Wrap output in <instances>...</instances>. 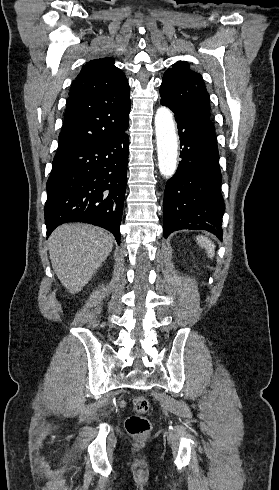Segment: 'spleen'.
<instances>
[{"label": "spleen", "instance_id": "1", "mask_svg": "<svg viewBox=\"0 0 279 490\" xmlns=\"http://www.w3.org/2000/svg\"><path fill=\"white\" fill-rule=\"evenodd\" d=\"M197 244H199L200 248H205L206 252H208V258H214V244L210 242L209 238H205V236H198Z\"/></svg>", "mask_w": 279, "mask_h": 490}]
</instances>
